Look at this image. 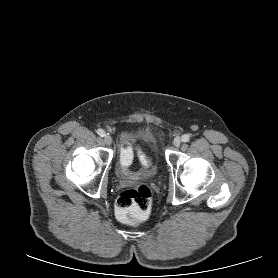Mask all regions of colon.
<instances>
[{"label": "colon", "instance_id": "1", "mask_svg": "<svg viewBox=\"0 0 278 278\" xmlns=\"http://www.w3.org/2000/svg\"><path fill=\"white\" fill-rule=\"evenodd\" d=\"M140 158L142 163L149 164V160L146 157L141 155ZM121 161L125 174L135 178L136 176L128 171L132 161L131 146L128 143L123 146ZM151 207L152 191L148 185L143 183L121 192L115 202L118 218L130 225H138L144 222L149 217Z\"/></svg>", "mask_w": 278, "mask_h": 278}]
</instances>
